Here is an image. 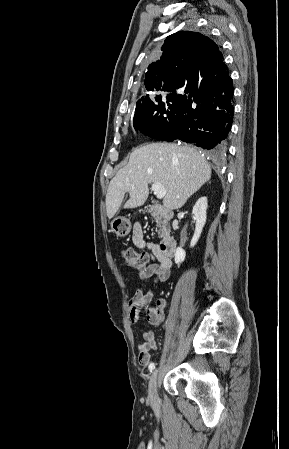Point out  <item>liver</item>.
<instances>
[{"instance_id": "1", "label": "liver", "mask_w": 289, "mask_h": 449, "mask_svg": "<svg viewBox=\"0 0 289 449\" xmlns=\"http://www.w3.org/2000/svg\"><path fill=\"white\" fill-rule=\"evenodd\" d=\"M211 178V167L195 148L173 143H151L135 149L128 164L110 181L106 194L109 219L121 208L126 193L130 198L124 208L142 206L150 183L166 189L163 206L181 208L187 199Z\"/></svg>"}]
</instances>
